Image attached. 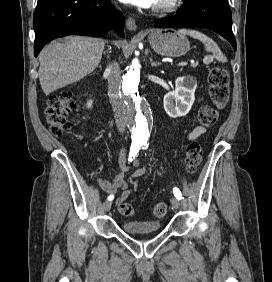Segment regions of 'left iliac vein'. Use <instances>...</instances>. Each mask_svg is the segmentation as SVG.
I'll return each mask as SVG.
<instances>
[{"label": "left iliac vein", "mask_w": 272, "mask_h": 282, "mask_svg": "<svg viewBox=\"0 0 272 282\" xmlns=\"http://www.w3.org/2000/svg\"><path fill=\"white\" fill-rule=\"evenodd\" d=\"M171 203L175 209H178L180 207V200H178L176 197L171 199Z\"/></svg>", "instance_id": "obj_1"}]
</instances>
